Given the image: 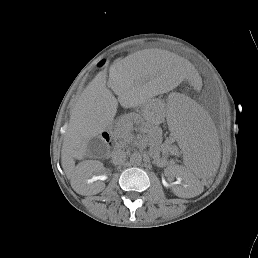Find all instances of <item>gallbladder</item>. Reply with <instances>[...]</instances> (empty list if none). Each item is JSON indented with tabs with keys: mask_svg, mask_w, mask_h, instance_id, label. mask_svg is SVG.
<instances>
[{
	"mask_svg": "<svg viewBox=\"0 0 258 258\" xmlns=\"http://www.w3.org/2000/svg\"><path fill=\"white\" fill-rule=\"evenodd\" d=\"M88 150L90 154H96V149H99L102 147V141L99 139V137H93L88 141Z\"/></svg>",
	"mask_w": 258,
	"mask_h": 258,
	"instance_id": "1",
	"label": "gallbladder"
}]
</instances>
